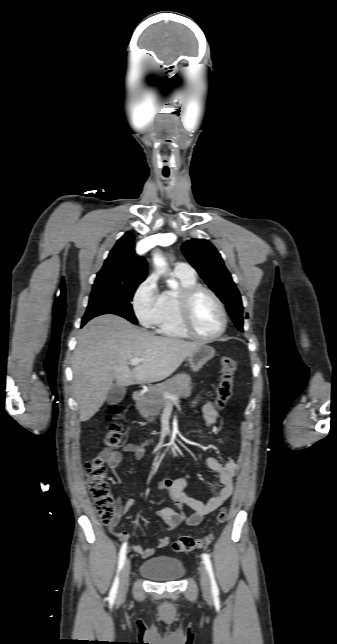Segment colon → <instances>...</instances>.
<instances>
[{"mask_svg":"<svg viewBox=\"0 0 337 644\" xmlns=\"http://www.w3.org/2000/svg\"><path fill=\"white\" fill-rule=\"evenodd\" d=\"M221 376L216 388L214 405L222 409L232 396L234 374L237 368L236 361L230 357L224 356L219 361ZM123 414L119 408H112L107 420L110 422L105 436V445L109 449H117L122 442V427L118 420L122 419ZM87 485L94 502V507L100 521L104 524H110L116 517L115 499L112 494L111 486L106 478V467L102 459L95 458L87 463ZM227 512L221 509L216 521L222 524L226 521ZM211 536L200 538L192 536H180L173 544L176 552H189L195 549L206 547L211 542Z\"/></svg>","mask_w":337,"mask_h":644,"instance_id":"colon-1","label":"colon"}]
</instances>
